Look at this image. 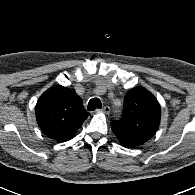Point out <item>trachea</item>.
Listing matches in <instances>:
<instances>
[{"label":"trachea","mask_w":195,"mask_h":195,"mask_svg":"<svg viewBox=\"0 0 195 195\" xmlns=\"http://www.w3.org/2000/svg\"><path fill=\"white\" fill-rule=\"evenodd\" d=\"M102 104L101 101L98 98H92L88 103V110L93 111L97 108H101Z\"/></svg>","instance_id":"3493384b"}]
</instances>
